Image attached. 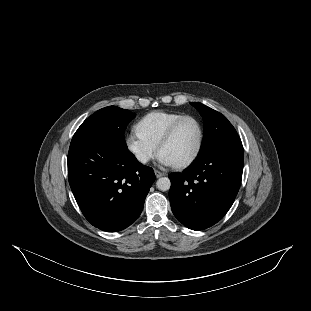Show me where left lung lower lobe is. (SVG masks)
Masks as SVG:
<instances>
[{
  "label": "left lung lower lobe",
  "mask_w": 311,
  "mask_h": 311,
  "mask_svg": "<svg viewBox=\"0 0 311 311\" xmlns=\"http://www.w3.org/2000/svg\"><path fill=\"white\" fill-rule=\"evenodd\" d=\"M242 172L243 146L235 144L196 160L182 173L170 174L173 214L192 230L214 225L232 206Z\"/></svg>",
  "instance_id": "left-lung-lower-lobe-1"
}]
</instances>
